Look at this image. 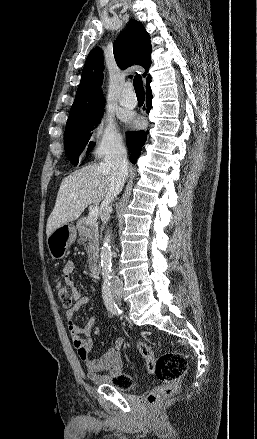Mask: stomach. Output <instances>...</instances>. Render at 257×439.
I'll use <instances>...</instances> for the list:
<instances>
[{"label": "stomach", "mask_w": 257, "mask_h": 439, "mask_svg": "<svg viewBox=\"0 0 257 439\" xmlns=\"http://www.w3.org/2000/svg\"><path fill=\"white\" fill-rule=\"evenodd\" d=\"M77 236L76 227L66 223L48 236L47 248L53 259H61L65 256L69 247L75 242Z\"/></svg>", "instance_id": "stomach-1"}]
</instances>
